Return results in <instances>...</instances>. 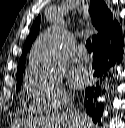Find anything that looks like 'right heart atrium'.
Segmentation results:
<instances>
[{
	"label": "right heart atrium",
	"mask_w": 125,
	"mask_h": 128,
	"mask_svg": "<svg viewBox=\"0 0 125 128\" xmlns=\"http://www.w3.org/2000/svg\"><path fill=\"white\" fill-rule=\"evenodd\" d=\"M25 90L36 110L50 112L69 102V95L62 87L60 78L54 73L29 71Z\"/></svg>",
	"instance_id": "obj_1"
}]
</instances>
